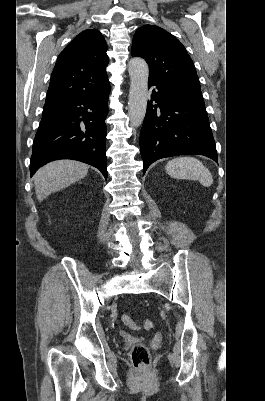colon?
<instances>
[{
  "mask_svg": "<svg viewBox=\"0 0 265 401\" xmlns=\"http://www.w3.org/2000/svg\"><path fill=\"white\" fill-rule=\"evenodd\" d=\"M125 324L144 331H148L153 327L152 321L148 319L133 320L127 315L122 316ZM131 361L136 369L144 371L148 368L150 363V354L148 348L144 344H135L130 352Z\"/></svg>",
  "mask_w": 265,
  "mask_h": 401,
  "instance_id": "1",
  "label": "colon"
}]
</instances>
